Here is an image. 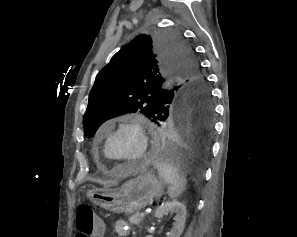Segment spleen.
Instances as JSON below:
<instances>
[{
	"label": "spleen",
	"mask_w": 297,
	"mask_h": 237,
	"mask_svg": "<svg viewBox=\"0 0 297 237\" xmlns=\"http://www.w3.org/2000/svg\"><path fill=\"white\" fill-rule=\"evenodd\" d=\"M154 167L157 169L160 179L169 185L168 194L170 198H177L185 191L187 179L177 167H174V164L158 161Z\"/></svg>",
	"instance_id": "spleen-1"
}]
</instances>
